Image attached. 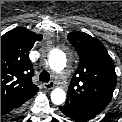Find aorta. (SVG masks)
<instances>
[{
  "label": "aorta",
  "mask_w": 122,
  "mask_h": 122,
  "mask_svg": "<svg viewBox=\"0 0 122 122\" xmlns=\"http://www.w3.org/2000/svg\"><path fill=\"white\" fill-rule=\"evenodd\" d=\"M66 55L60 50L53 51L48 58L49 67L59 73L66 66ZM51 100L54 104L60 105L66 100V93L62 88H56L51 92Z\"/></svg>",
  "instance_id": "aorta-1"
}]
</instances>
